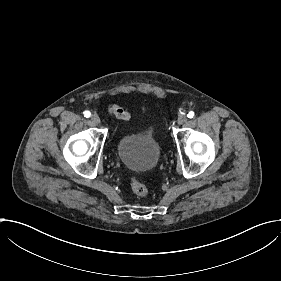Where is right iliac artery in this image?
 Masks as SVG:
<instances>
[{
    "label": "right iliac artery",
    "mask_w": 281,
    "mask_h": 281,
    "mask_svg": "<svg viewBox=\"0 0 281 281\" xmlns=\"http://www.w3.org/2000/svg\"><path fill=\"white\" fill-rule=\"evenodd\" d=\"M91 116V113L89 111L84 112V117L89 118Z\"/></svg>",
    "instance_id": "obj_1"
}]
</instances>
